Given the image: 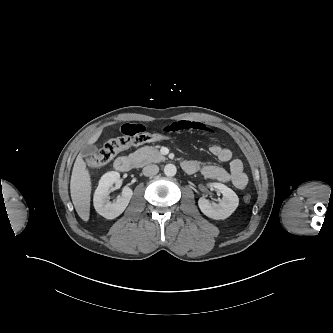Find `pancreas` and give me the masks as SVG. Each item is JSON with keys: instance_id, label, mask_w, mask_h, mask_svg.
I'll list each match as a JSON object with an SVG mask.
<instances>
[{"instance_id": "obj_1", "label": "pancreas", "mask_w": 333, "mask_h": 333, "mask_svg": "<svg viewBox=\"0 0 333 333\" xmlns=\"http://www.w3.org/2000/svg\"><path fill=\"white\" fill-rule=\"evenodd\" d=\"M129 157L138 167H142L150 163H159L166 160L165 156H163L155 146L141 147L135 152L131 153Z\"/></svg>"}]
</instances>
